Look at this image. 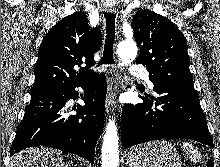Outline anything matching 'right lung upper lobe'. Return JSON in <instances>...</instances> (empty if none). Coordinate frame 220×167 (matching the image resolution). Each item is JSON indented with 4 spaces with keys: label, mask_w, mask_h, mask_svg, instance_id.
Returning a JSON list of instances; mask_svg holds the SVG:
<instances>
[{
    "label": "right lung upper lobe",
    "mask_w": 220,
    "mask_h": 167,
    "mask_svg": "<svg viewBox=\"0 0 220 167\" xmlns=\"http://www.w3.org/2000/svg\"><path fill=\"white\" fill-rule=\"evenodd\" d=\"M101 43L100 30L88 26L84 12L60 20L40 45L31 95L66 88L94 76L89 69L95 64L94 53ZM83 63L85 67H81Z\"/></svg>",
    "instance_id": "obj_1"
}]
</instances>
